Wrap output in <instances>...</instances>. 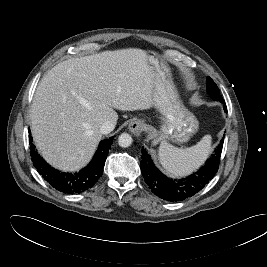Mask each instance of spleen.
Here are the masks:
<instances>
[{"instance_id":"spleen-1","label":"spleen","mask_w":267,"mask_h":267,"mask_svg":"<svg viewBox=\"0 0 267 267\" xmlns=\"http://www.w3.org/2000/svg\"><path fill=\"white\" fill-rule=\"evenodd\" d=\"M211 136L205 135L196 145L178 148L168 142L159 147V159L167 173L187 175L204 163L211 150Z\"/></svg>"}]
</instances>
